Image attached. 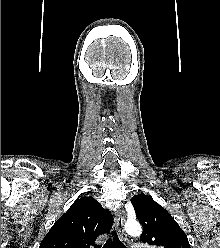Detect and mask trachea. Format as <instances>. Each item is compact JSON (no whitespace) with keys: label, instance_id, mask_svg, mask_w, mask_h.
<instances>
[{"label":"trachea","instance_id":"obj_1","mask_svg":"<svg viewBox=\"0 0 220 248\" xmlns=\"http://www.w3.org/2000/svg\"><path fill=\"white\" fill-rule=\"evenodd\" d=\"M103 248H126V246L119 240L116 231H113L112 239H108Z\"/></svg>","mask_w":220,"mask_h":248}]
</instances>
